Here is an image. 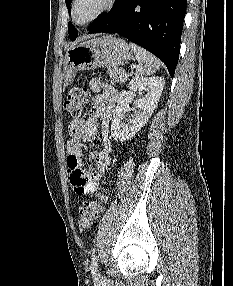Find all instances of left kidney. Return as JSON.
<instances>
[{
	"mask_svg": "<svg viewBox=\"0 0 233 286\" xmlns=\"http://www.w3.org/2000/svg\"><path fill=\"white\" fill-rule=\"evenodd\" d=\"M162 77H136L129 83V91H123L118 98L111 123V136L116 141H126L132 138L147 123L156 108L164 88ZM135 99L132 119L123 122L125 113L130 110V101Z\"/></svg>",
	"mask_w": 233,
	"mask_h": 286,
	"instance_id": "left-kidney-1",
	"label": "left kidney"
}]
</instances>
